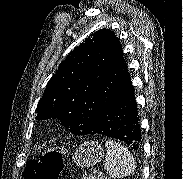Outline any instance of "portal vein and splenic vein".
<instances>
[{"label": "portal vein and splenic vein", "instance_id": "portal-vein-and-splenic-vein-1", "mask_svg": "<svg viewBox=\"0 0 183 179\" xmlns=\"http://www.w3.org/2000/svg\"><path fill=\"white\" fill-rule=\"evenodd\" d=\"M103 175H104L103 173H99L98 177H103Z\"/></svg>", "mask_w": 183, "mask_h": 179}]
</instances>
